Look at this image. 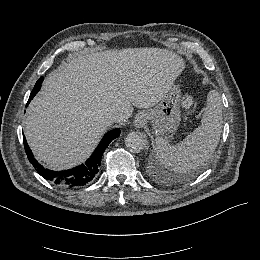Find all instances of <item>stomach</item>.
<instances>
[{"label": "stomach", "mask_w": 260, "mask_h": 260, "mask_svg": "<svg viewBox=\"0 0 260 260\" xmlns=\"http://www.w3.org/2000/svg\"><path fill=\"white\" fill-rule=\"evenodd\" d=\"M180 94V86L173 83L170 90L153 108L138 113L147 114L148 122L151 123L155 136L171 139L178 129L181 121Z\"/></svg>", "instance_id": "stomach-1"}]
</instances>
